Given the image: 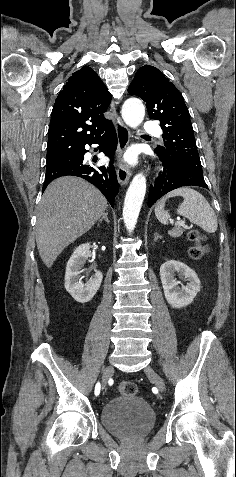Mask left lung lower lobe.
<instances>
[{
    "mask_svg": "<svg viewBox=\"0 0 236 477\" xmlns=\"http://www.w3.org/2000/svg\"><path fill=\"white\" fill-rule=\"evenodd\" d=\"M158 154V153H157ZM162 170L149 190V207L166 193L182 186H199L208 189L203 175L186 165L159 155Z\"/></svg>",
    "mask_w": 236,
    "mask_h": 477,
    "instance_id": "0a47b994",
    "label": "left lung lower lobe"
}]
</instances>
